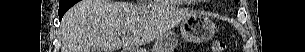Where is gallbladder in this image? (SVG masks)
<instances>
[{"label":"gallbladder","mask_w":305,"mask_h":52,"mask_svg":"<svg viewBox=\"0 0 305 52\" xmlns=\"http://www.w3.org/2000/svg\"><path fill=\"white\" fill-rule=\"evenodd\" d=\"M100 51H101L100 49L97 50V52H100Z\"/></svg>","instance_id":"gallbladder-1"}]
</instances>
